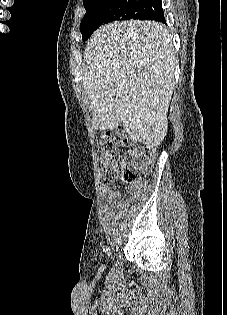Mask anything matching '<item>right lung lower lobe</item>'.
I'll list each match as a JSON object with an SVG mask.
<instances>
[{"mask_svg":"<svg viewBox=\"0 0 227 315\" xmlns=\"http://www.w3.org/2000/svg\"><path fill=\"white\" fill-rule=\"evenodd\" d=\"M153 20L165 23L164 12L162 9L161 1L154 12V19Z\"/></svg>","mask_w":227,"mask_h":315,"instance_id":"98d812e1","label":"right lung lower lobe"}]
</instances>
